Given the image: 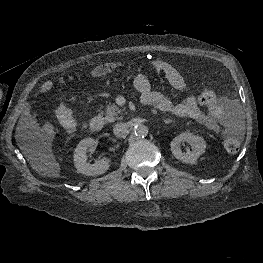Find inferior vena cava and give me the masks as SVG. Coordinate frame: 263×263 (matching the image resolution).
I'll return each mask as SVG.
<instances>
[{"mask_svg": "<svg viewBox=\"0 0 263 263\" xmlns=\"http://www.w3.org/2000/svg\"><path fill=\"white\" fill-rule=\"evenodd\" d=\"M113 132L117 137H123L128 133V125L126 123H118L114 126Z\"/></svg>", "mask_w": 263, "mask_h": 263, "instance_id": "1", "label": "inferior vena cava"}]
</instances>
